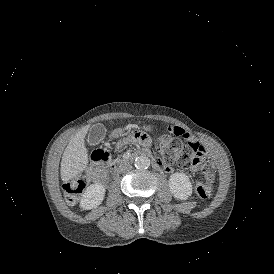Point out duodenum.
<instances>
[{"mask_svg": "<svg viewBox=\"0 0 274 274\" xmlns=\"http://www.w3.org/2000/svg\"><path fill=\"white\" fill-rule=\"evenodd\" d=\"M138 156H146L151 158L153 162V166L158 170H166V165L163 163L161 159H159L156 155H154L150 150L148 149H142L139 150L125 158L113 161L109 164V170L112 173L117 172L122 166L132 162L136 157ZM95 160L98 162L105 161L104 157L102 155H96Z\"/></svg>", "mask_w": 274, "mask_h": 274, "instance_id": "1", "label": "duodenum"}]
</instances>
